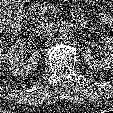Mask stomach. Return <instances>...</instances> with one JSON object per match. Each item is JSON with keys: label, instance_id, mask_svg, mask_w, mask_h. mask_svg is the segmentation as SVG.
I'll return each mask as SVG.
<instances>
[{"label": "stomach", "instance_id": "0dacf381", "mask_svg": "<svg viewBox=\"0 0 113 113\" xmlns=\"http://www.w3.org/2000/svg\"><path fill=\"white\" fill-rule=\"evenodd\" d=\"M23 2H27V1H29V0H22Z\"/></svg>", "mask_w": 113, "mask_h": 113}]
</instances>
